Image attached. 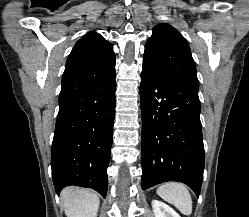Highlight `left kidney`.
<instances>
[{"label":"left kidney","instance_id":"left-kidney-1","mask_svg":"<svg viewBox=\"0 0 249 217\" xmlns=\"http://www.w3.org/2000/svg\"><path fill=\"white\" fill-rule=\"evenodd\" d=\"M152 207L155 217H180L173 208L159 200H153Z\"/></svg>","mask_w":249,"mask_h":217}]
</instances>
